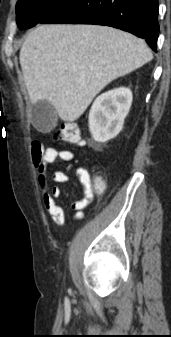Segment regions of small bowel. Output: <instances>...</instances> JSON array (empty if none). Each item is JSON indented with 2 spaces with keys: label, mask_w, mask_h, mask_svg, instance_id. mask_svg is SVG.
<instances>
[{
  "label": "small bowel",
  "mask_w": 171,
  "mask_h": 337,
  "mask_svg": "<svg viewBox=\"0 0 171 337\" xmlns=\"http://www.w3.org/2000/svg\"><path fill=\"white\" fill-rule=\"evenodd\" d=\"M32 162L34 165L38 186L42 192L43 204L48 211L51 220L56 225H63L67 220L80 221L84 217L83 210L94 200V190L89 172L83 168H76V174L83 186L84 197L74 201L71 208L74 214L67 218L64 209L58 204L57 199L61 195L58 186H50L48 183L47 167L57 159L63 162H72L75 159L73 152L55 147L44 148L39 142L33 143ZM53 182L63 184L70 181V176L64 171H55L52 174Z\"/></svg>",
  "instance_id": "c3829d8e"
}]
</instances>
